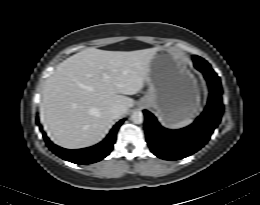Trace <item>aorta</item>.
Returning a JSON list of instances; mask_svg holds the SVG:
<instances>
[{
	"mask_svg": "<svg viewBox=\"0 0 260 205\" xmlns=\"http://www.w3.org/2000/svg\"><path fill=\"white\" fill-rule=\"evenodd\" d=\"M131 120L135 124H141L143 122V113L141 111H134L131 115Z\"/></svg>",
	"mask_w": 260,
	"mask_h": 205,
	"instance_id": "762f6f07",
	"label": "aorta"
}]
</instances>
